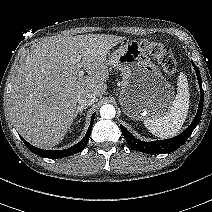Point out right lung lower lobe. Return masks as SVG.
Wrapping results in <instances>:
<instances>
[{"label": "right lung lower lobe", "instance_id": "1", "mask_svg": "<svg viewBox=\"0 0 212 212\" xmlns=\"http://www.w3.org/2000/svg\"><path fill=\"white\" fill-rule=\"evenodd\" d=\"M94 117H95V114H93L92 117H91L90 126H89V128L86 132L85 137L78 144H76V145H74V146H72L68 149H64V150H43V149L37 148L35 146H32L26 140H24L22 137H21V139L23 140L26 147L30 151H32L33 153H35L36 155H38L40 157L51 158V159L67 157V156L73 155L75 153H78L85 148V146L87 145L89 138H90L91 129H92V126H93V123H94Z\"/></svg>", "mask_w": 212, "mask_h": 212}]
</instances>
